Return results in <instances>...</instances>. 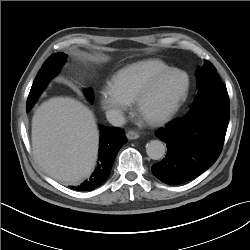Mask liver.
<instances>
[{"instance_id": "1", "label": "liver", "mask_w": 250, "mask_h": 250, "mask_svg": "<svg viewBox=\"0 0 250 250\" xmlns=\"http://www.w3.org/2000/svg\"><path fill=\"white\" fill-rule=\"evenodd\" d=\"M32 147L45 173L64 184H76L92 173L99 132L94 114L71 97L43 102L32 118Z\"/></svg>"}]
</instances>
